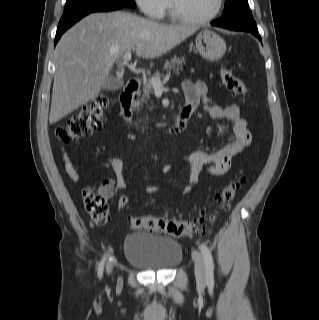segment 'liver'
<instances>
[{
    "label": "liver",
    "mask_w": 319,
    "mask_h": 320,
    "mask_svg": "<svg viewBox=\"0 0 319 320\" xmlns=\"http://www.w3.org/2000/svg\"><path fill=\"white\" fill-rule=\"evenodd\" d=\"M197 28L166 25L117 11L83 18L59 40L55 49L49 122H58L98 97L117 59L135 50L142 58H157L180 44Z\"/></svg>",
    "instance_id": "1"
}]
</instances>
